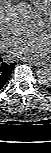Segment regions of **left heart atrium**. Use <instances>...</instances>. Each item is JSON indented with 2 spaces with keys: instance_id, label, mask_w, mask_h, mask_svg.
Segmentation results:
<instances>
[{
  "instance_id": "obj_1",
  "label": "left heart atrium",
  "mask_w": 51,
  "mask_h": 153,
  "mask_svg": "<svg viewBox=\"0 0 51 153\" xmlns=\"http://www.w3.org/2000/svg\"><path fill=\"white\" fill-rule=\"evenodd\" d=\"M8 51L15 57L28 61L43 58L51 48V37L48 32L38 34H20L6 42Z\"/></svg>"
}]
</instances>
